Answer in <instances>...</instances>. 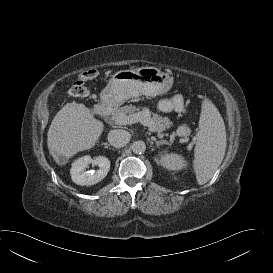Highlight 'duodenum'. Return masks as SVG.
<instances>
[{
	"label": "duodenum",
	"mask_w": 273,
	"mask_h": 273,
	"mask_svg": "<svg viewBox=\"0 0 273 273\" xmlns=\"http://www.w3.org/2000/svg\"><path fill=\"white\" fill-rule=\"evenodd\" d=\"M95 111L99 115H107L109 112V108L107 105L100 103L96 106Z\"/></svg>",
	"instance_id": "duodenum-1"
}]
</instances>
